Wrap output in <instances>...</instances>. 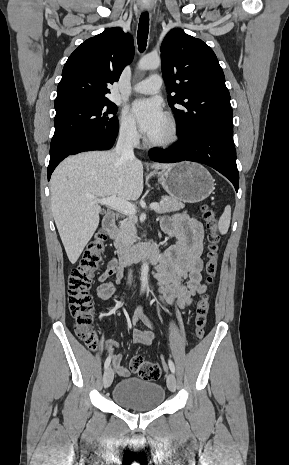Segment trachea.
Wrapping results in <instances>:
<instances>
[{
    "label": "trachea",
    "mask_w": 289,
    "mask_h": 465,
    "mask_svg": "<svg viewBox=\"0 0 289 465\" xmlns=\"http://www.w3.org/2000/svg\"><path fill=\"white\" fill-rule=\"evenodd\" d=\"M148 32H149V14L147 12H144L140 16L139 24H138V32H137V43H138V49L140 52H143L146 49Z\"/></svg>",
    "instance_id": "1"
}]
</instances>
